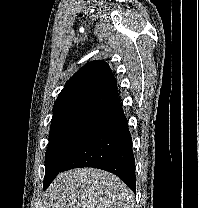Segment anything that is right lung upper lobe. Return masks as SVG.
<instances>
[{
	"label": "right lung upper lobe",
	"instance_id": "cb5924a9",
	"mask_svg": "<svg viewBox=\"0 0 199 208\" xmlns=\"http://www.w3.org/2000/svg\"><path fill=\"white\" fill-rule=\"evenodd\" d=\"M118 98L117 81L108 64L95 60L79 69L65 84L53 116L80 108H102Z\"/></svg>",
	"mask_w": 199,
	"mask_h": 208
}]
</instances>
